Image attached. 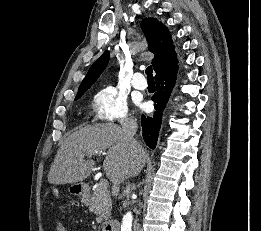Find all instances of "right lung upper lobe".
Listing matches in <instances>:
<instances>
[{
  "mask_svg": "<svg viewBox=\"0 0 261 231\" xmlns=\"http://www.w3.org/2000/svg\"><path fill=\"white\" fill-rule=\"evenodd\" d=\"M141 28L148 41L149 51L155 55L152 65L156 76L177 67L178 60L167 27L154 18H146L142 21ZM108 61L109 52L105 51L90 67L88 74L79 86L78 93L85 92L95 83L107 66Z\"/></svg>",
  "mask_w": 261,
  "mask_h": 231,
  "instance_id": "obj_1",
  "label": "right lung upper lobe"
}]
</instances>
